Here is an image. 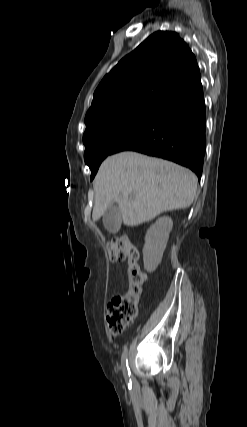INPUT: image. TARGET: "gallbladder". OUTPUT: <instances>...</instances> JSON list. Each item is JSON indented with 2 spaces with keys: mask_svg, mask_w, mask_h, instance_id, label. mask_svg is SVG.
Here are the masks:
<instances>
[{
  "mask_svg": "<svg viewBox=\"0 0 247 427\" xmlns=\"http://www.w3.org/2000/svg\"><path fill=\"white\" fill-rule=\"evenodd\" d=\"M121 211L117 204L110 205L103 214V225L110 233H116L121 227Z\"/></svg>",
  "mask_w": 247,
  "mask_h": 427,
  "instance_id": "1",
  "label": "gallbladder"
}]
</instances>
